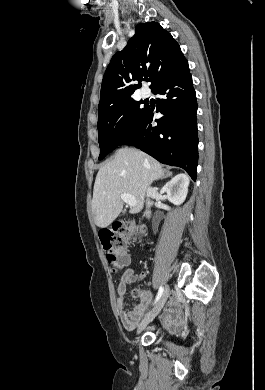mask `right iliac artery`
Wrapping results in <instances>:
<instances>
[{
    "label": "right iliac artery",
    "mask_w": 265,
    "mask_h": 390,
    "mask_svg": "<svg viewBox=\"0 0 265 390\" xmlns=\"http://www.w3.org/2000/svg\"><path fill=\"white\" fill-rule=\"evenodd\" d=\"M163 291H164V288H163L162 286H160V288H159V291H158V294H157V297H156V300H155L154 304H155V303H157V301L160 299V297H161V295H162Z\"/></svg>",
    "instance_id": "obj_1"
}]
</instances>
